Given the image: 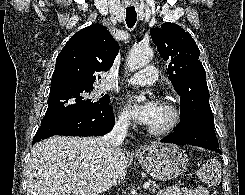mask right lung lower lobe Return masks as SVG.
<instances>
[{"label":"right lung lower lobe","instance_id":"obj_1","mask_svg":"<svg viewBox=\"0 0 245 195\" xmlns=\"http://www.w3.org/2000/svg\"><path fill=\"white\" fill-rule=\"evenodd\" d=\"M114 114L110 104H99L94 108L68 114L41 125L34 136L32 146L53 135L100 136L114 126Z\"/></svg>","mask_w":245,"mask_h":195}]
</instances>
